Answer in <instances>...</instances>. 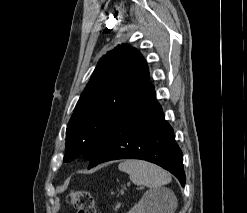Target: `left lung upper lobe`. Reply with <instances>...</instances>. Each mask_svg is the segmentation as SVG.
<instances>
[{"label":"left lung upper lobe","mask_w":247,"mask_h":213,"mask_svg":"<svg viewBox=\"0 0 247 213\" xmlns=\"http://www.w3.org/2000/svg\"><path fill=\"white\" fill-rule=\"evenodd\" d=\"M148 76L144 58L127 44L100 59L68 123L65 162L79 154L90 159L104 134L139 96Z\"/></svg>","instance_id":"5c2ea615"}]
</instances>
